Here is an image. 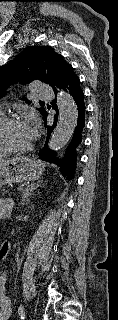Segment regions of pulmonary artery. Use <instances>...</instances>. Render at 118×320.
<instances>
[{"instance_id": "1", "label": "pulmonary artery", "mask_w": 118, "mask_h": 320, "mask_svg": "<svg viewBox=\"0 0 118 320\" xmlns=\"http://www.w3.org/2000/svg\"><path fill=\"white\" fill-rule=\"evenodd\" d=\"M32 90L41 100H49L54 97L53 91L49 87L40 83L33 84Z\"/></svg>"}]
</instances>
